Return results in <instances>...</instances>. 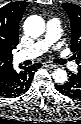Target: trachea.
Masks as SVG:
<instances>
[{
    "label": "trachea",
    "instance_id": "trachea-1",
    "mask_svg": "<svg viewBox=\"0 0 81 124\" xmlns=\"http://www.w3.org/2000/svg\"><path fill=\"white\" fill-rule=\"evenodd\" d=\"M55 63H58V64L63 65L65 62H64V60L56 59V60H55Z\"/></svg>",
    "mask_w": 81,
    "mask_h": 124
}]
</instances>
